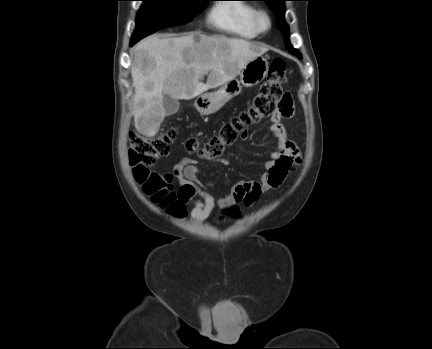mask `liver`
<instances>
[{
  "mask_svg": "<svg viewBox=\"0 0 432 349\" xmlns=\"http://www.w3.org/2000/svg\"><path fill=\"white\" fill-rule=\"evenodd\" d=\"M267 51L257 43L221 34L143 39L133 49L131 65L137 131L156 135L165 117V94L184 100L197 97L233 80L248 62ZM204 74H209L206 83L200 81Z\"/></svg>",
  "mask_w": 432,
  "mask_h": 349,
  "instance_id": "6515ba94",
  "label": "liver"
}]
</instances>
